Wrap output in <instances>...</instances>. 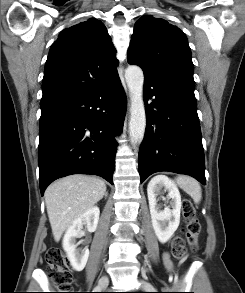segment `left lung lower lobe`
Returning <instances> with one entry per match:
<instances>
[{
	"instance_id": "0a47b994",
	"label": "left lung lower lobe",
	"mask_w": 245,
	"mask_h": 293,
	"mask_svg": "<svg viewBox=\"0 0 245 293\" xmlns=\"http://www.w3.org/2000/svg\"><path fill=\"white\" fill-rule=\"evenodd\" d=\"M152 99L151 104H147ZM146 130L139 151L141 182L159 171L187 174L205 185L196 99L144 76Z\"/></svg>"
}]
</instances>
